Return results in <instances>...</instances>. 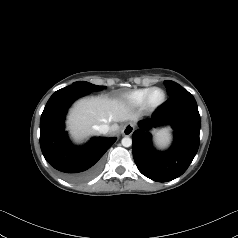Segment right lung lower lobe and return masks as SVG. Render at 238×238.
<instances>
[{"label": "right lung lower lobe", "mask_w": 238, "mask_h": 238, "mask_svg": "<svg viewBox=\"0 0 238 238\" xmlns=\"http://www.w3.org/2000/svg\"><path fill=\"white\" fill-rule=\"evenodd\" d=\"M88 94L78 85L56 91L48 100L40 120V146L43 156L63 176L75 183L91 179L100 169V158L116 138H92L83 146H75L64 131V119L69 106Z\"/></svg>", "instance_id": "98d812e1"}]
</instances>
